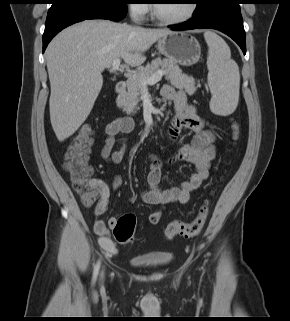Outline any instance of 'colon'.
Here are the masks:
<instances>
[{"instance_id": "1", "label": "colon", "mask_w": 290, "mask_h": 321, "mask_svg": "<svg viewBox=\"0 0 290 321\" xmlns=\"http://www.w3.org/2000/svg\"><path fill=\"white\" fill-rule=\"evenodd\" d=\"M233 139L237 141L240 136V126L232 124ZM93 130L85 124L79 128L73 137L64 155V168L68 172L73 188L82 196L86 206L93 205L98 198L96 189L91 184L93 169L89 164L90 148L93 143ZM209 211V198L204 199L195 218L190 222L172 221L165 229L168 240L176 236L193 237L198 235L207 219ZM136 227V216L132 213L119 217L113 226L114 237L119 243H130L133 240Z\"/></svg>"}]
</instances>
